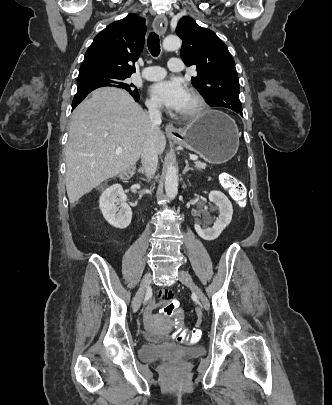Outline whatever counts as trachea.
Wrapping results in <instances>:
<instances>
[{
  "mask_svg": "<svg viewBox=\"0 0 332 405\" xmlns=\"http://www.w3.org/2000/svg\"><path fill=\"white\" fill-rule=\"evenodd\" d=\"M147 45L152 56L157 57L160 54V41L159 36L156 33H150Z\"/></svg>",
  "mask_w": 332,
  "mask_h": 405,
  "instance_id": "1",
  "label": "trachea"
}]
</instances>
